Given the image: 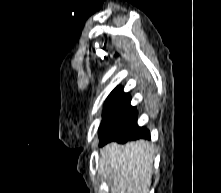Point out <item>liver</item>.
<instances>
[{
	"instance_id": "6515ba94",
	"label": "liver",
	"mask_w": 221,
	"mask_h": 193,
	"mask_svg": "<svg viewBox=\"0 0 221 193\" xmlns=\"http://www.w3.org/2000/svg\"><path fill=\"white\" fill-rule=\"evenodd\" d=\"M154 146L146 140L110 143L100 153L99 167L110 193H149Z\"/></svg>"
}]
</instances>
